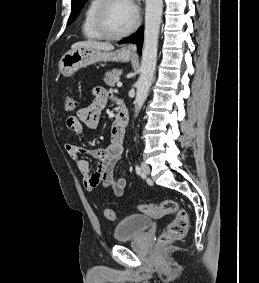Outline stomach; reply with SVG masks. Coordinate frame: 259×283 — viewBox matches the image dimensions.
<instances>
[{
    "label": "stomach",
    "mask_w": 259,
    "mask_h": 283,
    "mask_svg": "<svg viewBox=\"0 0 259 283\" xmlns=\"http://www.w3.org/2000/svg\"><path fill=\"white\" fill-rule=\"evenodd\" d=\"M132 54L119 49L116 51H103L99 49L80 47L67 52L59 61V71L65 76L73 75L78 69L98 62L129 61Z\"/></svg>",
    "instance_id": "stomach-1"
}]
</instances>
